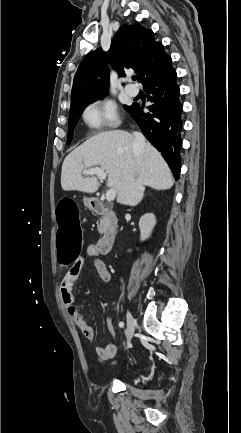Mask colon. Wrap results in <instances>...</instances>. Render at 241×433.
Listing matches in <instances>:
<instances>
[{"label":"colon","instance_id":"colon-1","mask_svg":"<svg viewBox=\"0 0 241 433\" xmlns=\"http://www.w3.org/2000/svg\"><path fill=\"white\" fill-rule=\"evenodd\" d=\"M53 218L59 222L56 230L59 247L56 263L60 270H69L78 260L80 247H83L80 206L74 205L72 197H61Z\"/></svg>","mask_w":241,"mask_h":433}]
</instances>
